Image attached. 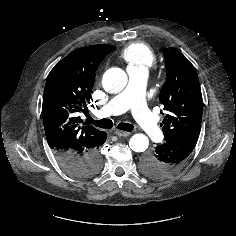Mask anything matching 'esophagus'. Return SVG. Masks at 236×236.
Here are the masks:
<instances>
[{
  "label": "esophagus",
  "instance_id": "esophagus-1",
  "mask_svg": "<svg viewBox=\"0 0 236 236\" xmlns=\"http://www.w3.org/2000/svg\"><path fill=\"white\" fill-rule=\"evenodd\" d=\"M115 134L120 136V137H127L129 136L131 133L126 132V131H122V130H116Z\"/></svg>",
  "mask_w": 236,
  "mask_h": 236
}]
</instances>
